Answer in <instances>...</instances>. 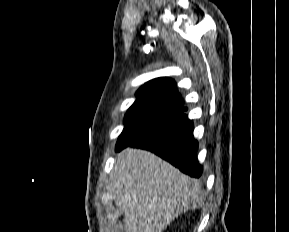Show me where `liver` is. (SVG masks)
I'll list each match as a JSON object with an SVG mask.
<instances>
[{
    "label": "liver",
    "mask_w": 289,
    "mask_h": 232,
    "mask_svg": "<svg viewBox=\"0 0 289 232\" xmlns=\"http://www.w3.org/2000/svg\"><path fill=\"white\" fill-rule=\"evenodd\" d=\"M111 182L126 232H162L202 202L195 180L142 149L126 148L117 155Z\"/></svg>",
    "instance_id": "obj_1"
}]
</instances>
